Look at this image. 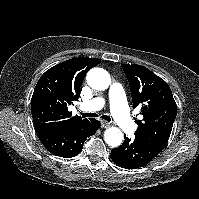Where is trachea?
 <instances>
[{"label": "trachea", "mask_w": 199, "mask_h": 199, "mask_svg": "<svg viewBox=\"0 0 199 199\" xmlns=\"http://www.w3.org/2000/svg\"><path fill=\"white\" fill-rule=\"evenodd\" d=\"M83 118H93V117H98V115L96 113H81ZM102 119L110 122L111 118L107 115H102L101 116Z\"/></svg>", "instance_id": "1"}]
</instances>
